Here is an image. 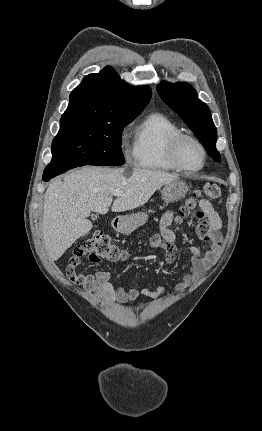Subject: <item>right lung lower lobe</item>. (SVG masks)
I'll return each instance as SVG.
<instances>
[{"mask_svg": "<svg viewBox=\"0 0 262 431\" xmlns=\"http://www.w3.org/2000/svg\"><path fill=\"white\" fill-rule=\"evenodd\" d=\"M80 166H84V165H80V164H69V165H63V166H56V167H50L47 166L44 170L43 173V177L42 179L44 181H49L50 179H52L53 177L69 170L75 167H80Z\"/></svg>", "mask_w": 262, "mask_h": 431, "instance_id": "obj_1", "label": "right lung lower lobe"}]
</instances>
